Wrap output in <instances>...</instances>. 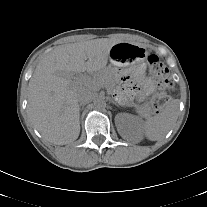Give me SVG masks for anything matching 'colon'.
Here are the masks:
<instances>
[{"label": "colon", "mask_w": 207, "mask_h": 207, "mask_svg": "<svg viewBox=\"0 0 207 207\" xmlns=\"http://www.w3.org/2000/svg\"><path fill=\"white\" fill-rule=\"evenodd\" d=\"M148 64L150 75L158 84V92L152 98V105L155 112L160 113L170 103V98L166 91L173 89V83L168 77V69L157 55H150L148 57Z\"/></svg>", "instance_id": "5ec220e1"}]
</instances>
